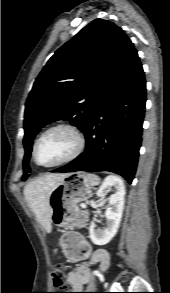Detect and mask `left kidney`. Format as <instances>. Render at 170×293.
Instances as JSON below:
<instances>
[{
	"instance_id": "obj_1",
	"label": "left kidney",
	"mask_w": 170,
	"mask_h": 293,
	"mask_svg": "<svg viewBox=\"0 0 170 293\" xmlns=\"http://www.w3.org/2000/svg\"><path fill=\"white\" fill-rule=\"evenodd\" d=\"M113 187L115 192L109 197L110 207L105 212L107 226L96 229L94 221L89 228L90 239L95 245H105L116 235L124 209L125 186L123 181L116 176H108L99 190L97 196L104 199L107 189Z\"/></svg>"
}]
</instances>
